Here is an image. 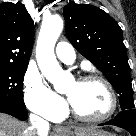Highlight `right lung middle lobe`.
<instances>
[{"instance_id":"1","label":"right lung middle lobe","mask_w":136,"mask_h":136,"mask_svg":"<svg viewBox=\"0 0 136 136\" xmlns=\"http://www.w3.org/2000/svg\"><path fill=\"white\" fill-rule=\"evenodd\" d=\"M27 65H0V106L25 108L22 84Z\"/></svg>"}]
</instances>
